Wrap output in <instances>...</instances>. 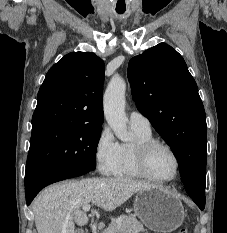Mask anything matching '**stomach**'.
Masks as SVG:
<instances>
[{
  "instance_id": "stomach-1",
  "label": "stomach",
  "mask_w": 227,
  "mask_h": 233,
  "mask_svg": "<svg viewBox=\"0 0 227 233\" xmlns=\"http://www.w3.org/2000/svg\"><path fill=\"white\" fill-rule=\"evenodd\" d=\"M134 211L156 233H169L177 229L185 218L180 198L171 190L158 186L140 190L136 194Z\"/></svg>"
}]
</instances>
